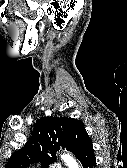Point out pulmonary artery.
I'll list each match as a JSON object with an SVG mask.
<instances>
[{
	"mask_svg": "<svg viewBox=\"0 0 127 168\" xmlns=\"http://www.w3.org/2000/svg\"><path fill=\"white\" fill-rule=\"evenodd\" d=\"M52 168H61V165L55 164V165L52 166Z\"/></svg>",
	"mask_w": 127,
	"mask_h": 168,
	"instance_id": "1",
	"label": "pulmonary artery"
}]
</instances>
